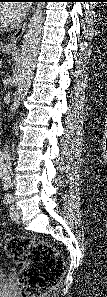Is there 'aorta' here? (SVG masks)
<instances>
[{
  "label": "aorta",
  "mask_w": 107,
  "mask_h": 297,
  "mask_svg": "<svg viewBox=\"0 0 107 297\" xmlns=\"http://www.w3.org/2000/svg\"><path fill=\"white\" fill-rule=\"evenodd\" d=\"M43 8L44 3L37 4L23 37L17 69V88L10 105L9 118H13L31 85L43 31ZM0 165L2 169L8 168L10 165V154L7 144L3 148Z\"/></svg>",
  "instance_id": "obj_1"
}]
</instances>
